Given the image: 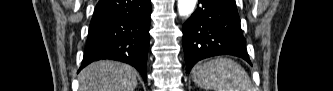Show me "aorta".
<instances>
[{
	"label": "aorta",
	"instance_id": "1",
	"mask_svg": "<svg viewBox=\"0 0 333 91\" xmlns=\"http://www.w3.org/2000/svg\"><path fill=\"white\" fill-rule=\"evenodd\" d=\"M197 0H178V13L180 16L188 17L195 9Z\"/></svg>",
	"mask_w": 333,
	"mask_h": 91
}]
</instances>
